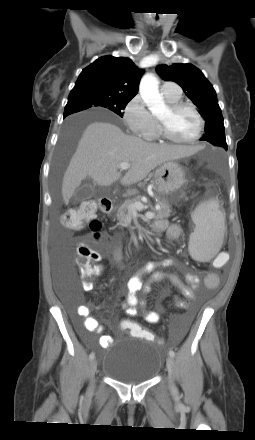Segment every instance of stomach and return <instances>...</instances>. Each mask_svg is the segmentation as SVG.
Here are the masks:
<instances>
[{"mask_svg":"<svg viewBox=\"0 0 255 440\" xmlns=\"http://www.w3.org/2000/svg\"><path fill=\"white\" fill-rule=\"evenodd\" d=\"M185 182L183 168L174 161L160 165L154 174V185L162 195H169L177 191Z\"/></svg>","mask_w":255,"mask_h":440,"instance_id":"stomach-1","label":"stomach"}]
</instances>
